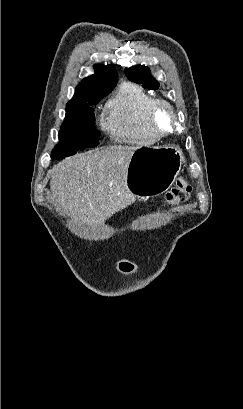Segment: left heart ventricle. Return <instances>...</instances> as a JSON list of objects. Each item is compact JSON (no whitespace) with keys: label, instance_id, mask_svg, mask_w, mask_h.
<instances>
[{"label":"left heart ventricle","instance_id":"obj_1","mask_svg":"<svg viewBox=\"0 0 243 409\" xmlns=\"http://www.w3.org/2000/svg\"><path fill=\"white\" fill-rule=\"evenodd\" d=\"M156 122L158 128L162 131H167L172 127V118L166 109H160L157 114Z\"/></svg>","mask_w":243,"mask_h":409}]
</instances>
